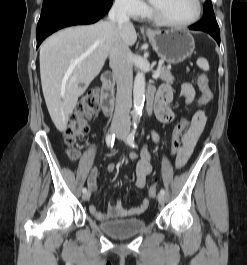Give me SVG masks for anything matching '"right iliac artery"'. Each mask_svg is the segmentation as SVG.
Masks as SVG:
<instances>
[{"label": "right iliac artery", "mask_w": 247, "mask_h": 265, "mask_svg": "<svg viewBox=\"0 0 247 265\" xmlns=\"http://www.w3.org/2000/svg\"><path fill=\"white\" fill-rule=\"evenodd\" d=\"M114 140H115V134H109L107 135L106 137V143L109 147H112L114 145ZM82 192L85 193L87 192V189L86 188H83L82 189Z\"/></svg>", "instance_id": "82829eb1"}]
</instances>
